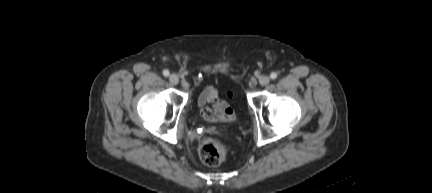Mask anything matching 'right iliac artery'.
<instances>
[{
    "label": "right iliac artery",
    "mask_w": 432,
    "mask_h": 193,
    "mask_svg": "<svg viewBox=\"0 0 432 193\" xmlns=\"http://www.w3.org/2000/svg\"><path fill=\"white\" fill-rule=\"evenodd\" d=\"M163 75H164L165 77H168V76H169V71H168V70H164V71H163Z\"/></svg>",
    "instance_id": "right-iliac-artery-1"
}]
</instances>
